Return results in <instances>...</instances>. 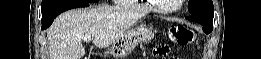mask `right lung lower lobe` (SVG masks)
<instances>
[{
	"instance_id": "98d812e1",
	"label": "right lung lower lobe",
	"mask_w": 261,
	"mask_h": 59,
	"mask_svg": "<svg viewBox=\"0 0 261 59\" xmlns=\"http://www.w3.org/2000/svg\"><path fill=\"white\" fill-rule=\"evenodd\" d=\"M89 6L88 2L83 1H76V2H70L67 4H64L60 6L59 8L47 13L46 15L42 16V30L47 29L54 21V19L61 14L64 11H67L69 9L73 8H80V7H87Z\"/></svg>"
}]
</instances>
